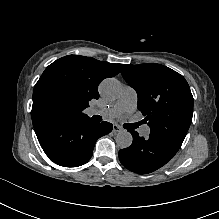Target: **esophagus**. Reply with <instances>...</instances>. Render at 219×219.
<instances>
[{
	"mask_svg": "<svg viewBox=\"0 0 219 219\" xmlns=\"http://www.w3.org/2000/svg\"><path fill=\"white\" fill-rule=\"evenodd\" d=\"M123 129L120 127V126H118V125H116V124H114L113 125V133H118V132H121Z\"/></svg>",
	"mask_w": 219,
	"mask_h": 219,
	"instance_id": "obj_1",
	"label": "esophagus"
}]
</instances>
